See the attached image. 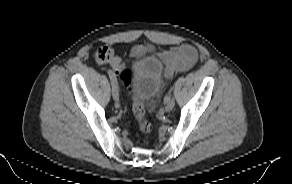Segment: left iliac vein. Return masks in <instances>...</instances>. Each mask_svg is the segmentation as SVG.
<instances>
[{
  "mask_svg": "<svg viewBox=\"0 0 292 184\" xmlns=\"http://www.w3.org/2000/svg\"><path fill=\"white\" fill-rule=\"evenodd\" d=\"M174 106H175V101L172 97H170V99L166 102L165 111L166 112L172 111Z\"/></svg>",
  "mask_w": 292,
  "mask_h": 184,
  "instance_id": "obj_1",
  "label": "left iliac vein"
}]
</instances>
